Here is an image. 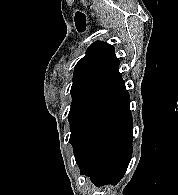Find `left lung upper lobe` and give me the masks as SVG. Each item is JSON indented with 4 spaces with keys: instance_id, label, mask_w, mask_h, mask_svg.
Returning <instances> with one entry per match:
<instances>
[{
    "instance_id": "1",
    "label": "left lung upper lobe",
    "mask_w": 178,
    "mask_h": 195,
    "mask_svg": "<svg viewBox=\"0 0 178 195\" xmlns=\"http://www.w3.org/2000/svg\"><path fill=\"white\" fill-rule=\"evenodd\" d=\"M119 59L108 43H93L74 69L72 104L68 115L70 140L124 90Z\"/></svg>"
}]
</instances>
